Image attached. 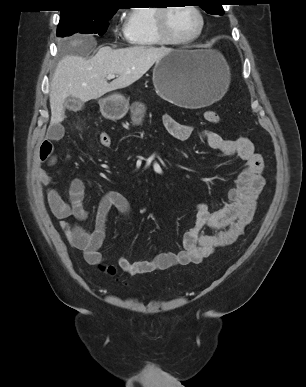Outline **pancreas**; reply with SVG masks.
<instances>
[{"label": "pancreas", "mask_w": 306, "mask_h": 387, "mask_svg": "<svg viewBox=\"0 0 306 387\" xmlns=\"http://www.w3.org/2000/svg\"><path fill=\"white\" fill-rule=\"evenodd\" d=\"M136 105H138V104H136ZM139 106L141 107V109H144L142 105H139ZM133 115L136 116L137 113L135 111H133Z\"/></svg>", "instance_id": "pancreas-1"}]
</instances>
